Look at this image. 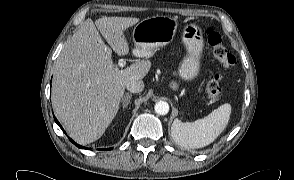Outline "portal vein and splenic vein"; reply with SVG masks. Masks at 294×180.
<instances>
[{
  "mask_svg": "<svg viewBox=\"0 0 294 180\" xmlns=\"http://www.w3.org/2000/svg\"><path fill=\"white\" fill-rule=\"evenodd\" d=\"M126 65V61L124 60V59H120L119 61H118V66L119 67H124Z\"/></svg>",
  "mask_w": 294,
  "mask_h": 180,
  "instance_id": "portal-vein-and-splenic-vein-1",
  "label": "portal vein and splenic vein"
}]
</instances>
